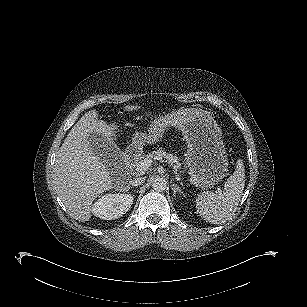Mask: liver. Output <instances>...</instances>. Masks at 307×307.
Wrapping results in <instances>:
<instances>
[{
  "instance_id": "1",
  "label": "liver",
  "mask_w": 307,
  "mask_h": 307,
  "mask_svg": "<svg viewBox=\"0 0 307 307\" xmlns=\"http://www.w3.org/2000/svg\"><path fill=\"white\" fill-rule=\"evenodd\" d=\"M116 130V125L99 120L98 113L91 110L72 127L56 154L53 183L60 199L76 220L89 221L92 202L114 187L110 162H104L94 153L89 137L91 134L100 135L117 146Z\"/></svg>"
}]
</instances>
